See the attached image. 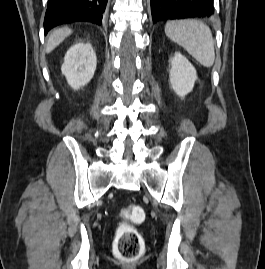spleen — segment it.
Wrapping results in <instances>:
<instances>
[{"instance_id":"3e777b00","label":"spleen","mask_w":265,"mask_h":269,"mask_svg":"<svg viewBox=\"0 0 265 269\" xmlns=\"http://www.w3.org/2000/svg\"><path fill=\"white\" fill-rule=\"evenodd\" d=\"M165 34L204 67L214 64V40L205 23L197 20L169 21L165 25Z\"/></svg>"}]
</instances>
